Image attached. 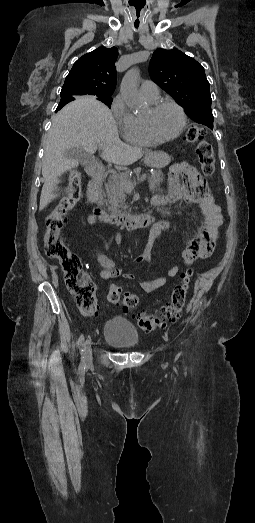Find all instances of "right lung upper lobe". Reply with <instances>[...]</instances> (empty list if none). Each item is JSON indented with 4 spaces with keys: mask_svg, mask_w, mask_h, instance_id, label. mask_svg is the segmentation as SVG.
<instances>
[{
    "mask_svg": "<svg viewBox=\"0 0 255 523\" xmlns=\"http://www.w3.org/2000/svg\"><path fill=\"white\" fill-rule=\"evenodd\" d=\"M117 57L116 47H100L83 55L74 63L61 92L68 93L73 98L111 96L117 82L114 65ZM70 101L73 100L61 99L56 112Z\"/></svg>",
    "mask_w": 255,
    "mask_h": 523,
    "instance_id": "1",
    "label": "right lung upper lobe"
}]
</instances>
